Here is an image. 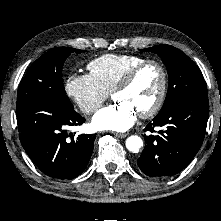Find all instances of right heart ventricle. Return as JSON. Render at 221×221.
Returning a JSON list of instances; mask_svg holds the SVG:
<instances>
[{"instance_id":"right-heart-ventricle-1","label":"right heart ventricle","mask_w":221,"mask_h":221,"mask_svg":"<svg viewBox=\"0 0 221 221\" xmlns=\"http://www.w3.org/2000/svg\"><path fill=\"white\" fill-rule=\"evenodd\" d=\"M146 59L130 54H106L88 64L90 74L109 93L121 79L135 66Z\"/></svg>"}]
</instances>
